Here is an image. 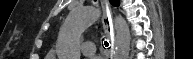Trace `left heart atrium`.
Instances as JSON below:
<instances>
[{
	"label": "left heart atrium",
	"mask_w": 193,
	"mask_h": 59,
	"mask_svg": "<svg viewBox=\"0 0 193 59\" xmlns=\"http://www.w3.org/2000/svg\"><path fill=\"white\" fill-rule=\"evenodd\" d=\"M91 59H99V58H97V57H94V58H91Z\"/></svg>",
	"instance_id": "1"
}]
</instances>
